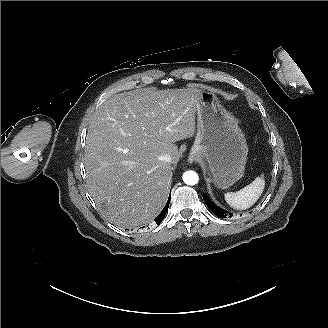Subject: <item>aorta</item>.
Wrapping results in <instances>:
<instances>
[{
  "label": "aorta",
  "instance_id": "1",
  "mask_svg": "<svg viewBox=\"0 0 328 328\" xmlns=\"http://www.w3.org/2000/svg\"><path fill=\"white\" fill-rule=\"evenodd\" d=\"M183 181L187 185H195L199 181V176L195 171H186L183 176Z\"/></svg>",
  "mask_w": 328,
  "mask_h": 328
}]
</instances>
